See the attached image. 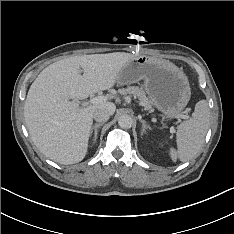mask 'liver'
Segmentation results:
<instances>
[{
  "instance_id": "obj_1",
  "label": "liver",
  "mask_w": 234,
  "mask_h": 234,
  "mask_svg": "<svg viewBox=\"0 0 234 234\" xmlns=\"http://www.w3.org/2000/svg\"><path fill=\"white\" fill-rule=\"evenodd\" d=\"M134 57L125 52L73 56L40 72L28 91L24 118L44 156L65 165L84 159L94 111L104 108L113 114L116 106L104 102L81 108L74 101L113 87L120 69Z\"/></svg>"
}]
</instances>
